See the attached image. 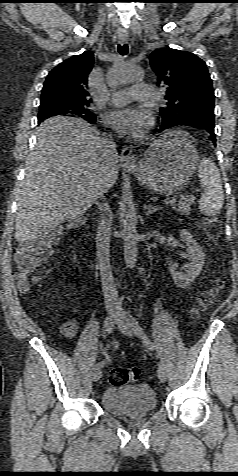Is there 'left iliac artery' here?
I'll list each match as a JSON object with an SVG mask.
<instances>
[{
    "instance_id": "left-iliac-artery-1",
    "label": "left iliac artery",
    "mask_w": 238,
    "mask_h": 476,
    "mask_svg": "<svg viewBox=\"0 0 238 476\" xmlns=\"http://www.w3.org/2000/svg\"><path fill=\"white\" fill-rule=\"evenodd\" d=\"M128 321L135 333V335L142 339L143 345L145 348L150 350L157 349L156 345L147 338L145 333L143 332L141 326L139 325L138 321L128 312Z\"/></svg>"
}]
</instances>
